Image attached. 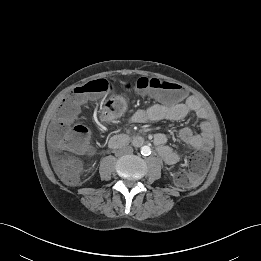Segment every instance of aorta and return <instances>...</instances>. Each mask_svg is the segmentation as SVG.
I'll use <instances>...</instances> for the list:
<instances>
[{
	"mask_svg": "<svg viewBox=\"0 0 261 261\" xmlns=\"http://www.w3.org/2000/svg\"><path fill=\"white\" fill-rule=\"evenodd\" d=\"M151 153V149L149 146H143L141 147V154L142 155H149Z\"/></svg>",
	"mask_w": 261,
	"mask_h": 261,
	"instance_id": "aorta-1",
	"label": "aorta"
}]
</instances>
